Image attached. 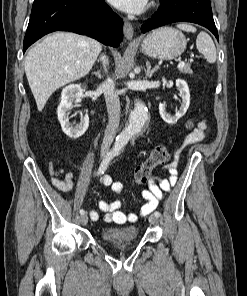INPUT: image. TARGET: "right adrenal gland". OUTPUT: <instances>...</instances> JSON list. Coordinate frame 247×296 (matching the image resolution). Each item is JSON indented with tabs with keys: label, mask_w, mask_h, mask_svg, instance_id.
<instances>
[{
	"label": "right adrenal gland",
	"mask_w": 247,
	"mask_h": 296,
	"mask_svg": "<svg viewBox=\"0 0 247 296\" xmlns=\"http://www.w3.org/2000/svg\"><path fill=\"white\" fill-rule=\"evenodd\" d=\"M104 72H107L106 68L104 67ZM93 75H96L98 77V79L103 78V75L101 74V72L98 70L96 72L92 73Z\"/></svg>",
	"instance_id": "2a0ac1e0"
}]
</instances>
